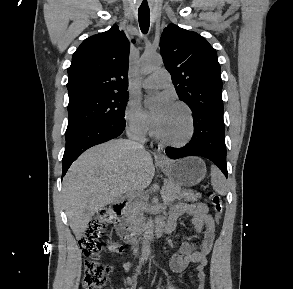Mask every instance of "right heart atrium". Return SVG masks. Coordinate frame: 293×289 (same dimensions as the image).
<instances>
[{"mask_svg":"<svg viewBox=\"0 0 293 289\" xmlns=\"http://www.w3.org/2000/svg\"><path fill=\"white\" fill-rule=\"evenodd\" d=\"M124 117L128 129L133 134L144 135L149 131V119L136 100L130 99L128 101Z\"/></svg>","mask_w":293,"mask_h":289,"instance_id":"1","label":"right heart atrium"}]
</instances>
